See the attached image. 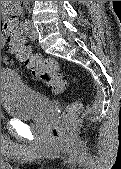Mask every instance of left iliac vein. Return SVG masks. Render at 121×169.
Segmentation results:
<instances>
[{
    "label": "left iliac vein",
    "mask_w": 121,
    "mask_h": 169,
    "mask_svg": "<svg viewBox=\"0 0 121 169\" xmlns=\"http://www.w3.org/2000/svg\"><path fill=\"white\" fill-rule=\"evenodd\" d=\"M31 40L38 39V31L32 22L29 21L28 30L25 32Z\"/></svg>",
    "instance_id": "4c4485c4"
}]
</instances>
